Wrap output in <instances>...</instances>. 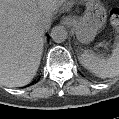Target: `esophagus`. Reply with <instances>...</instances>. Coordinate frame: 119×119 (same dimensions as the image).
<instances>
[{
    "label": "esophagus",
    "mask_w": 119,
    "mask_h": 119,
    "mask_svg": "<svg viewBox=\"0 0 119 119\" xmlns=\"http://www.w3.org/2000/svg\"><path fill=\"white\" fill-rule=\"evenodd\" d=\"M62 24H64V25H69V24H71L72 23V18L70 17V16H66V17H64L63 19H62Z\"/></svg>",
    "instance_id": "obj_1"
}]
</instances>
